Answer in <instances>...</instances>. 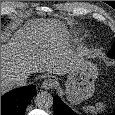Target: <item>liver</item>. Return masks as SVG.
I'll list each match as a JSON object with an SVG mask.
<instances>
[{"mask_svg":"<svg viewBox=\"0 0 115 115\" xmlns=\"http://www.w3.org/2000/svg\"><path fill=\"white\" fill-rule=\"evenodd\" d=\"M1 41V95L14 88L20 73L64 75L80 62L82 54L69 47L66 30L55 20H32Z\"/></svg>","mask_w":115,"mask_h":115,"instance_id":"obj_1","label":"liver"}]
</instances>
